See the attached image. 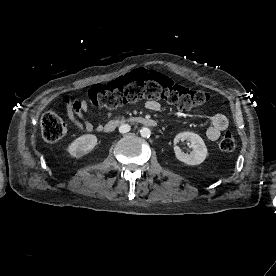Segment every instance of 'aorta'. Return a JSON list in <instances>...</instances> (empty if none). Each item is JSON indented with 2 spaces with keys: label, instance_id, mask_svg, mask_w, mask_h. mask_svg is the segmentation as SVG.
<instances>
[{
  "label": "aorta",
  "instance_id": "aorta-1",
  "mask_svg": "<svg viewBox=\"0 0 276 276\" xmlns=\"http://www.w3.org/2000/svg\"><path fill=\"white\" fill-rule=\"evenodd\" d=\"M140 134L142 137L144 138H149L150 135H151V130L147 127H143L141 130H140Z\"/></svg>",
  "mask_w": 276,
  "mask_h": 276
}]
</instances>
